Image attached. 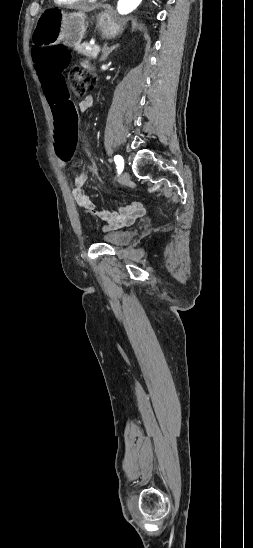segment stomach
Returning a JSON list of instances; mask_svg holds the SVG:
<instances>
[{
    "label": "stomach",
    "mask_w": 253,
    "mask_h": 548,
    "mask_svg": "<svg viewBox=\"0 0 253 548\" xmlns=\"http://www.w3.org/2000/svg\"><path fill=\"white\" fill-rule=\"evenodd\" d=\"M96 28L103 37L109 39L116 37L122 31L121 25L107 10L97 16ZM86 29L87 23L82 12L66 13L60 9H50L39 17L33 38L38 44L62 42L69 47H74L80 44Z\"/></svg>",
    "instance_id": "obj_1"
}]
</instances>
